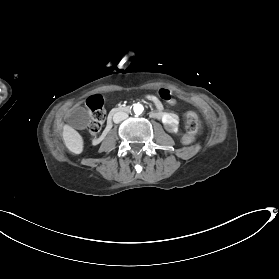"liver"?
Segmentation results:
<instances>
[{"label":"liver","instance_id":"1","mask_svg":"<svg viewBox=\"0 0 279 279\" xmlns=\"http://www.w3.org/2000/svg\"><path fill=\"white\" fill-rule=\"evenodd\" d=\"M63 142L74 155H80L84 152V139L82 135L70 124L65 123L62 126Z\"/></svg>","mask_w":279,"mask_h":279}]
</instances>
